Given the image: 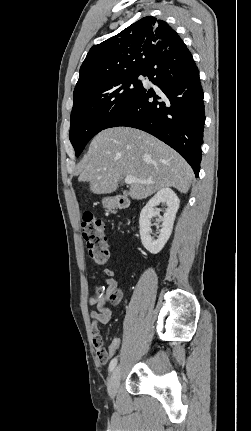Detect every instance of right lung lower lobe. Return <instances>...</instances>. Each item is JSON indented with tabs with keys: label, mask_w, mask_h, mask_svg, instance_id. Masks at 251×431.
Returning a JSON list of instances; mask_svg holds the SVG:
<instances>
[{
	"label": "right lung lower lobe",
	"mask_w": 251,
	"mask_h": 431,
	"mask_svg": "<svg viewBox=\"0 0 251 431\" xmlns=\"http://www.w3.org/2000/svg\"><path fill=\"white\" fill-rule=\"evenodd\" d=\"M159 89L142 88L106 128L127 126L146 131L175 149L198 177L205 123L199 71L186 46L170 48L145 71Z\"/></svg>",
	"instance_id": "1"
}]
</instances>
